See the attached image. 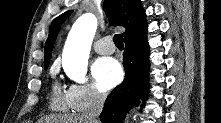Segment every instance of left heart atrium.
<instances>
[{
	"label": "left heart atrium",
	"instance_id": "left-heart-atrium-1",
	"mask_svg": "<svg viewBox=\"0 0 221 123\" xmlns=\"http://www.w3.org/2000/svg\"><path fill=\"white\" fill-rule=\"evenodd\" d=\"M92 75L101 89L108 90L121 81L123 71L116 59L101 57L94 62L92 66Z\"/></svg>",
	"mask_w": 221,
	"mask_h": 123
}]
</instances>
